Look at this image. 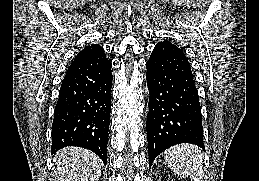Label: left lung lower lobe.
<instances>
[{"label":"left lung lower lobe","instance_id":"obj_1","mask_svg":"<svg viewBox=\"0 0 259 181\" xmlns=\"http://www.w3.org/2000/svg\"><path fill=\"white\" fill-rule=\"evenodd\" d=\"M146 67L149 165L175 144L191 143L205 149L198 91L183 51L166 40L157 43Z\"/></svg>","mask_w":259,"mask_h":181}]
</instances>
